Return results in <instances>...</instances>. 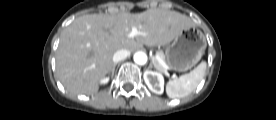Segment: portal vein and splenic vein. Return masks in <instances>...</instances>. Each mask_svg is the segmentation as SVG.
<instances>
[{
    "mask_svg": "<svg viewBox=\"0 0 276 120\" xmlns=\"http://www.w3.org/2000/svg\"><path fill=\"white\" fill-rule=\"evenodd\" d=\"M141 32L136 28V27H133L131 32L127 35L129 38H134L136 37L137 35H140ZM156 60H158L159 62H161V59L158 55H156L154 57Z\"/></svg>",
    "mask_w": 276,
    "mask_h": 120,
    "instance_id": "obj_1",
    "label": "portal vein and splenic vein"
}]
</instances>
